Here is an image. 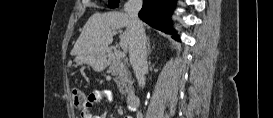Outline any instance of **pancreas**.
Segmentation results:
<instances>
[{
    "label": "pancreas",
    "instance_id": "obj_1",
    "mask_svg": "<svg viewBox=\"0 0 273 118\" xmlns=\"http://www.w3.org/2000/svg\"><path fill=\"white\" fill-rule=\"evenodd\" d=\"M108 72L115 77L114 81L121 94L132 93V76L122 57H119L118 55L113 57Z\"/></svg>",
    "mask_w": 273,
    "mask_h": 118
}]
</instances>
